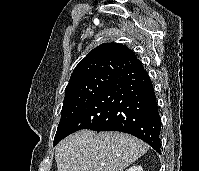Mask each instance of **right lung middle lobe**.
Instances as JSON below:
<instances>
[{
    "label": "right lung middle lobe",
    "mask_w": 199,
    "mask_h": 171,
    "mask_svg": "<svg viewBox=\"0 0 199 171\" xmlns=\"http://www.w3.org/2000/svg\"><path fill=\"white\" fill-rule=\"evenodd\" d=\"M113 77V75L108 74L96 75L81 82L72 89L65 91V98L61 110V119L54 138V145L59 142L66 127L73 120L80 109Z\"/></svg>",
    "instance_id": "right-lung-middle-lobe-1"
}]
</instances>
